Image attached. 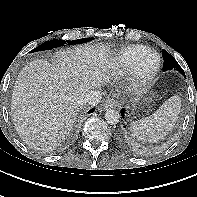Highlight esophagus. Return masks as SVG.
<instances>
[{"label":"esophagus","mask_w":197,"mask_h":197,"mask_svg":"<svg viewBox=\"0 0 197 197\" xmlns=\"http://www.w3.org/2000/svg\"><path fill=\"white\" fill-rule=\"evenodd\" d=\"M117 106V102L114 99H108L104 103L105 108H114Z\"/></svg>","instance_id":"34e87169"}]
</instances>
